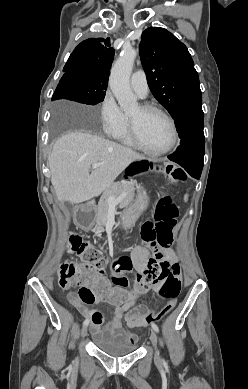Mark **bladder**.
I'll use <instances>...</instances> for the list:
<instances>
[{
    "label": "bladder",
    "instance_id": "bladder-1",
    "mask_svg": "<svg viewBox=\"0 0 248 389\" xmlns=\"http://www.w3.org/2000/svg\"><path fill=\"white\" fill-rule=\"evenodd\" d=\"M92 342L102 352L115 357L131 354L137 349L136 343L126 334L113 335L104 331L94 332Z\"/></svg>",
    "mask_w": 248,
    "mask_h": 389
}]
</instances>
